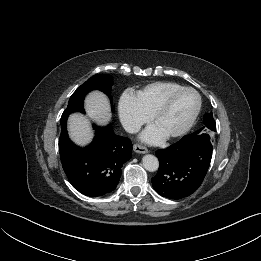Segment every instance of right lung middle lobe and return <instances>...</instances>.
Masks as SVG:
<instances>
[{
  "instance_id": "right-lung-middle-lobe-1",
  "label": "right lung middle lobe",
  "mask_w": 261,
  "mask_h": 261,
  "mask_svg": "<svg viewBox=\"0 0 261 261\" xmlns=\"http://www.w3.org/2000/svg\"><path fill=\"white\" fill-rule=\"evenodd\" d=\"M112 85V77L110 75L98 74L89 78L85 83H83L70 97L68 106L63 112L60 122L65 123L69 114L73 112L85 113L83 102L85 95L92 90H100L106 95H110ZM112 112L115 107L111 105Z\"/></svg>"
}]
</instances>
